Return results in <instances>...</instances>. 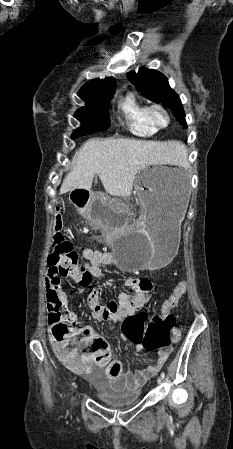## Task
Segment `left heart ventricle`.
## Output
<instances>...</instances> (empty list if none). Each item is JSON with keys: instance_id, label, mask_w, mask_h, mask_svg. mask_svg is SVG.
<instances>
[{"instance_id": "obj_1", "label": "left heart ventricle", "mask_w": 233, "mask_h": 449, "mask_svg": "<svg viewBox=\"0 0 233 449\" xmlns=\"http://www.w3.org/2000/svg\"><path fill=\"white\" fill-rule=\"evenodd\" d=\"M156 120L160 123V124H164L166 119L163 113L161 112H156Z\"/></svg>"}]
</instances>
